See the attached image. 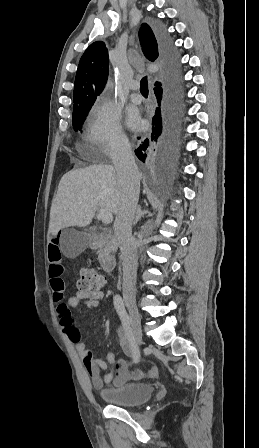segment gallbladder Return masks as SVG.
<instances>
[{
    "instance_id": "obj_1",
    "label": "gallbladder",
    "mask_w": 259,
    "mask_h": 448,
    "mask_svg": "<svg viewBox=\"0 0 259 448\" xmlns=\"http://www.w3.org/2000/svg\"><path fill=\"white\" fill-rule=\"evenodd\" d=\"M89 232H95L94 236L86 234V232H76V230H71V228L63 230L60 238V248L66 258H77L79 254H82L88 248L89 244L101 242L103 234L97 232L96 228H90Z\"/></svg>"
}]
</instances>
